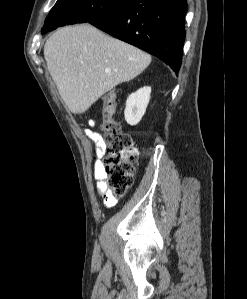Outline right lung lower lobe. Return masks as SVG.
<instances>
[{"instance_id":"1","label":"right lung lower lobe","mask_w":247,"mask_h":299,"mask_svg":"<svg viewBox=\"0 0 247 299\" xmlns=\"http://www.w3.org/2000/svg\"><path fill=\"white\" fill-rule=\"evenodd\" d=\"M186 0H130L89 23L157 56L177 74L185 40Z\"/></svg>"}]
</instances>
